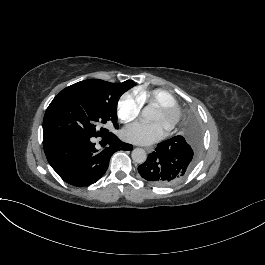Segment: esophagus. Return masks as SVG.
Segmentation results:
<instances>
[{"label":"esophagus","instance_id":"esophagus-1","mask_svg":"<svg viewBox=\"0 0 265 265\" xmlns=\"http://www.w3.org/2000/svg\"><path fill=\"white\" fill-rule=\"evenodd\" d=\"M146 150H147V152H151L152 151V149H150V148H146Z\"/></svg>","mask_w":265,"mask_h":265}]
</instances>
